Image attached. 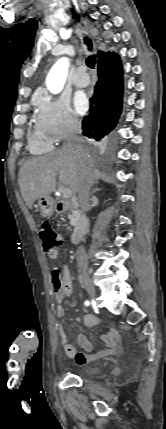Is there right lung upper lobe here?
I'll return each mask as SVG.
<instances>
[{
  "label": "right lung upper lobe",
  "instance_id": "obj_1",
  "mask_svg": "<svg viewBox=\"0 0 166 429\" xmlns=\"http://www.w3.org/2000/svg\"><path fill=\"white\" fill-rule=\"evenodd\" d=\"M107 55H111V52H102V51L98 52V58H101V57L107 56Z\"/></svg>",
  "mask_w": 166,
  "mask_h": 429
}]
</instances>
